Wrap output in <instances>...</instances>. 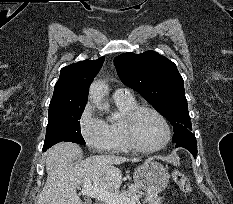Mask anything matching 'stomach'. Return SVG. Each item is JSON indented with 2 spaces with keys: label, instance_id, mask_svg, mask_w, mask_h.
Returning a JSON list of instances; mask_svg holds the SVG:
<instances>
[{
  "label": "stomach",
  "instance_id": "stomach-1",
  "mask_svg": "<svg viewBox=\"0 0 233 204\" xmlns=\"http://www.w3.org/2000/svg\"><path fill=\"white\" fill-rule=\"evenodd\" d=\"M169 177L167 169L161 163L151 160L138 166L133 174L135 184L152 193L162 192L168 185Z\"/></svg>",
  "mask_w": 233,
  "mask_h": 204
}]
</instances>
